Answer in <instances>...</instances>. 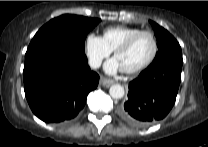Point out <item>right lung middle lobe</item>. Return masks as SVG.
<instances>
[{"label":"right lung middle lobe","instance_id":"obj_1","mask_svg":"<svg viewBox=\"0 0 208 147\" xmlns=\"http://www.w3.org/2000/svg\"><path fill=\"white\" fill-rule=\"evenodd\" d=\"M100 19L64 14L50 20L35 34L29 47L46 42L62 39L84 49L88 32L93 29Z\"/></svg>","mask_w":208,"mask_h":147}]
</instances>
